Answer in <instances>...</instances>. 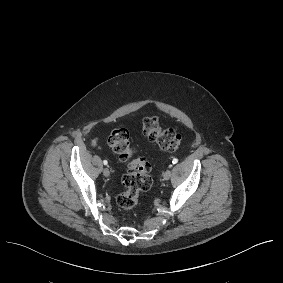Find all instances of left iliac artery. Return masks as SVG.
Instances as JSON below:
<instances>
[{"label":"left iliac artery","mask_w":283,"mask_h":283,"mask_svg":"<svg viewBox=\"0 0 283 283\" xmlns=\"http://www.w3.org/2000/svg\"><path fill=\"white\" fill-rule=\"evenodd\" d=\"M178 162V160L176 159V158H174L173 160H172V163L173 164H176Z\"/></svg>","instance_id":"1"}]
</instances>
